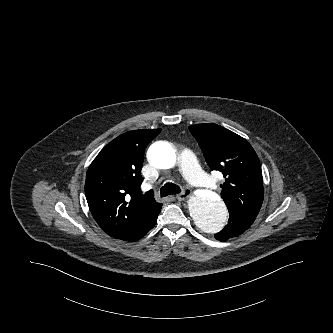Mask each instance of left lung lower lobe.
<instances>
[{
	"label": "left lung lower lobe",
	"instance_id": "0a47b994",
	"mask_svg": "<svg viewBox=\"0 0 333 333\" xmlns=\"http://www.w3.org/2000/svg\"><path fill=\"white\" fill-rule=\"evenodd\" d=\"M253 222V219L242 217L236 213H230L228 224L223 230L215 234V238L223 242L229 238L236 237L246 231Z\"/></svg>",
	"mask_w": 333,
	"mask_h": 333
}]
</instances>
